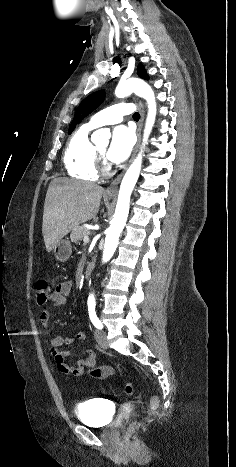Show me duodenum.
Masks as SVG:
<instances>
[{
    "mask_svg": "<svg viewBox=\"0 0 236 467\" xmlns=\"http://www.w3.org/2000/svg\"><path fill=\"white\" fill-rule=\"evenodd\" d=\"M93 268H94L93 262H89L86 264V266L84 267V271H83L84 278H88L91 275Z\"/></svg>",
    "mask_w": 236,
    "mask_h": 467,
    "instance_id": "obj_1",
    "label": "duodenum"
}]
</instances>
